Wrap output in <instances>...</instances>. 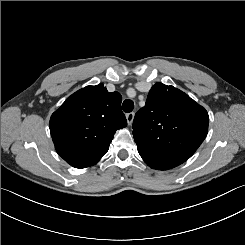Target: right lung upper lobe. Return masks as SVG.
<instances>
[{"mask_svg":"<svg viewBox=\"0 0 245 245\" xmlns=\"http://www.w3.org/2000/svg\"><path fill=\"white\" fill-rule=\"evenodd\" d=\"M122 97L103 84L86 86L71 96L50 118L58 154L75 168L96 164L108 151L116 130L126 127Z\"/></svg>","mask_w":245,"mask_h":245,"instance_id":"right-lung-upper-lobe-1","label":"right lung upper lobe"}]
</instances>
